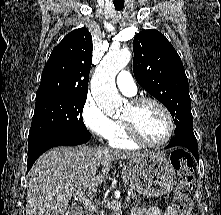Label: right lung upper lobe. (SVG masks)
Returning a JSON list of instances; mask_svg holds the SVG:
<instances>
[{
    "mask_svg": "<svg viewBox=\"0 0 221 215\" xmlns=\"http://www.w3.org/2000/svg\"><path fill=\"white\" fill-rule=\"evenodd\" d=\"M92 48V37L86 28L67 34L43 69L36 102L56 96H87Z\"/></svg>",
    "mask_w": 221,
    "mask_h": 215,
    "instance_id": "right-lung-upper-lobe-1",
    "label": "right lung upper lobe"
}]
</instances>
